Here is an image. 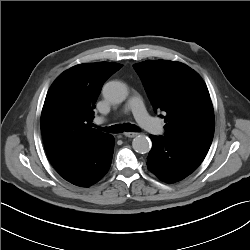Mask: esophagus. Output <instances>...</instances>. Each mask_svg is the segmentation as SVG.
I'll list each match as a JSON object with an SVG mask.
<instances>
[{
  "mask_svg": "<svg viewBox=\"0 0 250 250\" xmlns=\"http://www.w3.org/2000/svg\"><path fill=\"white\" fill-rule=\"evenodd\" d=\"M124 135L126 137L133 138V137H136L138 135V133H135V132H125Z\"/></svg>",
  "mask_w": 250,
  "mask_h": 250,
  "instance_id": "1",
  "label": "esophagus"
}]
</instances>
